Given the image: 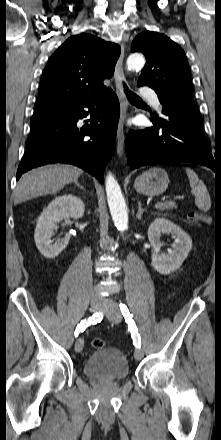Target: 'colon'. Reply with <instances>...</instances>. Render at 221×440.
<instances>
[{
	"label": "colon",
	"mask_w": 221,
	"mask_h": 440,
	"mask_svg": "<svg viewBox=\"0 0 221 440\" xmlns=\"http://www.w3.org/2000/svg\"><path fill=\"white\" fill-rule=\"evenodd\" d=\"M188 218L190 221H197L201 218V215L197 212H190L188 214ZM91 345L94 349H102L106 346V342L101 338H95L91 341Z\"/></svg>",
	"instance_id": "colon-1"
}]
</instances>
